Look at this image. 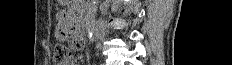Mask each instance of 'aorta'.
I'll return each instance as SVG.
<instances>
[{
    "label": "aorta",
    "instance_id": "1",
    "mask_svg": "<svg viewBox=\"0 0 232 65\" xmlns=\"http://www.w3.org/2000/svg\"><path fill=\"white\" fill-rule=\"evenodd\" d=\"M98 3V0H91V3L88 6L87 14L85 16L86 33L90 43H93L95 40L94 32L96 27Z\"/></svg>",
    "mask_w": 232,
    "mask_h": 65
}]
</instances>
